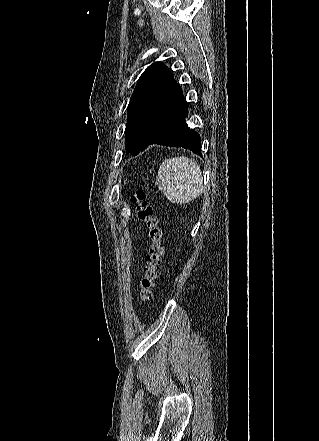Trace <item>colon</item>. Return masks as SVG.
Here are the masks:
<instances>
[{
    "instance_id": "5ec220e1",
    "label": "colon",
    "mask_w": 319,
    "mask_h": 441,
    "mask_svg": "<svg viewBox=\"0 0 319 441\" xmlns=\"http://www.w3.org/2000/svg\"><path fill=\"white\" fill-rule=\"evenodd\" d=\"M132 202L137 206V217L142 222L151 240L149 253L146 256L147 266L140 281V303L147 304L152 299V289L159 277V267L162 262L164 248L162 245L163 231L158 225V219L154 215V208L147 200L144 191L138 190L132 196Z\"/></svg>"
}]
</instances>
